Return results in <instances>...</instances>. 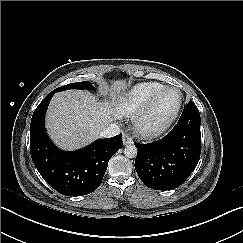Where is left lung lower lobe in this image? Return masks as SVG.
<instances>
[{
	"label": "left lung lower lobe",
	"mask_w": 243,
	"mask_h": 243,
	"mask_svg": "<svg viewBox=\"0 0 243 243\" xmlns=\"http://www.w3.org/2000/svg\"><path fill=\"white\" fill-rule=\"evenodd\" d=\"M200 113L185 106L175 127L162 139L134 143L138 153L135 169L141 181L155 190L179 187L195 169L201 153Z\"/></svg>",
	"instance_id": "0a47b994"
}]
</instances>
